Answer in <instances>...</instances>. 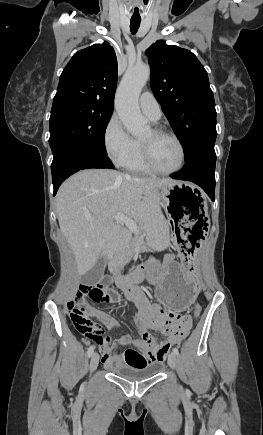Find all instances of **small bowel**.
I'll return each mask as SVG.
<instances>
[{"label":"small bowel","instance_id":"c3829d8e","mask_svg":"<svg viewBox=\"0 0 263 435\" xmlns=\"http://www.w3.org/2000/svg\"><path fill=\"white\" fill-rule=\"evenodd\" d=\"M164 258L172 257L166 255ZM152 268L153 262L149 261L134 272L117 276L115 278V285L121 290L125 298L136 307L137 311L134 316V323L138 330L147 328L149 332H160L161 334H159L158 339L159 343H163V348H155V344L154 348H149V345L145 344V348H140L139 350H124L121 352L100 350L102 362L107 368L114 365L144 366L154 361L161 362L165 359L166 355L174 353L177 347L175 342L181 339L185 330L192 328L190 321H182L179 315L180 310H165L164 305L151 303L139 287V283L143 281V274ZM110 290L116 295L115 300L110 303H119L121 301L120 294L114 289ZM74 302L78 306L86 308L92 316H97L105 326L109 328L118 326L119 323L114 317L101 313L89 305L82 290L76 294Z\"/></svg>","mask_w":263,"mask_h":435}]
</instances>
